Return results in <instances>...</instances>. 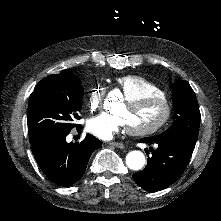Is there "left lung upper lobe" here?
<instances>
[{
    "mask_svg": "<svg viewBox=\"0 0 221 221\" xmlns=\"http://www.w3.org/2000/svg\"><path fill=\"white\" fill-rule=\"evenodd\" d=\"M172 90L175 95L174 121L163 134H178L196 143L201 116L195 92L185 80H177Z\"/></svg>",
    "mask_w": 221,
    "mask_h": 221,
    "instance_id": "obj_1",
    "label": "left lung upper lobe"
}]
</instances>
